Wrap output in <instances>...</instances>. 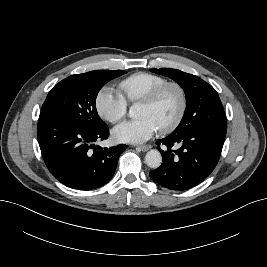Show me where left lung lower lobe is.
<instances>
[{
  "label": "left lung lower lobe",
  "instance_id": "left-lung-lower-lobe-1",
  "mask_svg": "<svg viewBox=\"0 0 267 267\" xmlns=\"http://www.w3.org/2000/svg\"><path fill=\"white\" fill-rule=\"evenodd\" d=\"M227 124L198 126L158 140L163 163L149 173L151 179L171 190L195 187L213 171L220 158ZM166 146L163 151L160 146ZM179 147L173 150L172 147Z\"/></svg>",
  "mask_w": 267,
  "mask_h": 267
}]
</instances>
